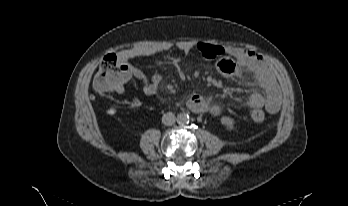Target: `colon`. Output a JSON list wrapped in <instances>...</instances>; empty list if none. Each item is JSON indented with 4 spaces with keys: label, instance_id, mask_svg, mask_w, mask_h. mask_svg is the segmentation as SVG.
Here are the masks:
<instances>
[{
    "label": "colon",
    "instance_id": "obj_1",
    "mask_svg": "<svg viewBox=\"0 0 348 206\" xmlns=\"http://www.w3.org/2000/svg\"><path fill=\"white\" fill-rule=\"evenodd\" d=\"M131 82L129 67L114 54H107L100 62L94 78L95 90L103 95L122 92ZM115 109L110 108L108 113L113 114ZM251 117L254 122L262 123L265 120V113L262 109L256 108L252 111Z\"/></svg>",
    "mask_w": 348,
    "mask_h": 206
}]
</instances>
